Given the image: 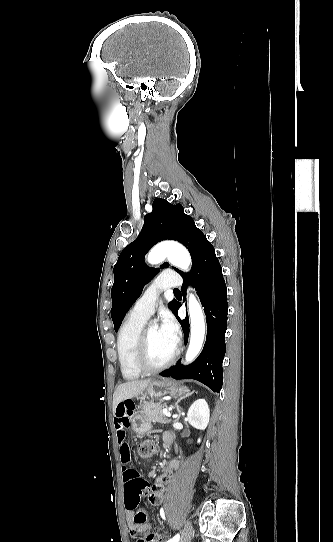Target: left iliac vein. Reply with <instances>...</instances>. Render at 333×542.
Wrapping results in <instances>:
<instances>
[{
    "instance_id": "1",
    "label": "left iliac vein",
    "mask_w": 333,
    "mask_h": 542,
    "mask_svg": "<svg viewBox=\"0 0 333 542\" xmlns=\"http://www.w3.org/2000/svg\"><path fill=\"white\" fill-rule=\"evenodd\" d=\"M193 536V529L189 522L185 524V527L182 532V537L180 542H190Z\"/></svg>"
}]
</instances>
